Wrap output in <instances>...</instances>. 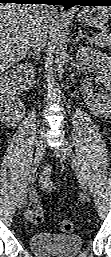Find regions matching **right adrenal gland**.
<instances>
[{"mask_svg":"<svg viewBox=\"0 0 111 257\" xmlns=\"http://www.w3.org/2000/svg\"><path fill=\"white\" fill-rule=\"evenodd\" d=\"M28 57H29V58L32 57V58L36 61L38 55H37L36 53L29 52Z\"/></svg>","mask_w":111,"mask_h":257,"instance_id":"2a0ac1e0","label":"right adrenal gland"}]
</instances>
